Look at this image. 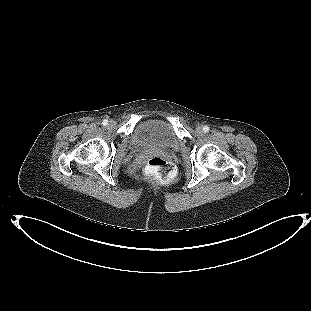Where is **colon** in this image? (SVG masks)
<instances>
[{
    "mask_svg": "<svg viewBox=\"0 0 311 311\" xmlns=\"http://www.w3.org/2000/svg\"><path fill=\"white\" fill-rule=\"evenodd\" d=\"M145 171L151 179L162 184L172 182L175 177V170L172 164L160 156L150 158Z\"/></svg>",
    "mask_w": 311,
    "mask_h": 311,
    "instance_id": "colon-1",
    "label": "colon"
}]
</instances>
